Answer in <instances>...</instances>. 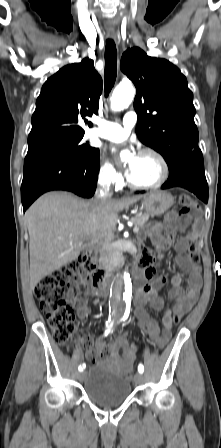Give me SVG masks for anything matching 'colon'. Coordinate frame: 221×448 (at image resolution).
Segmentation results:
<instances>
[{
  "mask_svg": "<svg viewBox=\"0 0 221 448\" xmlns=\"http://www.w3.org/2000/svg\"><path fill=\"white\" fill-rule=\"evenodd\" d=\"M182 209L180 221L184 225L190 223V217L199 209L198 204L186 194L180 196ZM188 259L192 264H198L200 256L194 245L189 247ZM87 255L82 253L78 259L71 261L63 268L46 275L35 288V296L40 302L53 337L60 346H67L75 331L74 309L66 298L69 288L75 289L78 275H83L82 266L86 264ZM180 318L175 315L173 322L177 324ZM88 343L89 339L85 338Z\"/></svg>",
  "mask_w": 221,
  "mask_h": 448,
  "instance_id": "5ec220e1",
  "label": "colon"
}]
</instances>
